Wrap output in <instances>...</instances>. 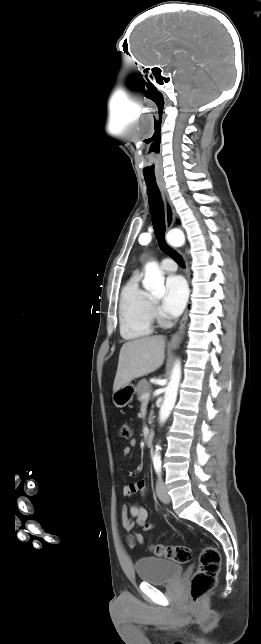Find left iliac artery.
I'll return each mask as SVG.
<instances>
[{
  "mask_svg": "<svg viewBox=\"0 0 261 644\" xmlns=\"http://www.w3.org/2000/svg\"><path fill=\"white\" fill-rule=\"evenodd\" d=\"M153 464H154V468H155L156 473L158 475H160L161 474V459L158 458V457H155L153 459Z\"/></svg>",
  "mask_w": 261,
  "mask_h": 644,
  "instance_id": "obj_1",
  "label": "left iliac artery"
}]
</instances>
